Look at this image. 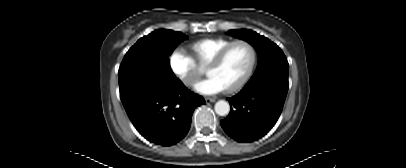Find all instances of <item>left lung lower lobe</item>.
<instances>
[{
  "instance_id": "obj_1",
  "label": "left lung lower lobe",
  "mask_w": 406,
  "mask_h": 168,
  "mask_svg": "<svg viewBox=\"0 0 406 168\" xmlns=\"http://www.w3.org/2000/svg\"><path fill=\"white\" fill-rule=\"evenodd\" d=\"M288 92V81L262 79L248 82L229 98L231 111L221 120L224 131L238 142H252L267 134L277 122Z\"/></svg>"
}]
</instances>
